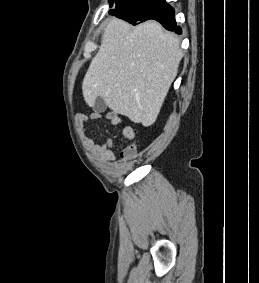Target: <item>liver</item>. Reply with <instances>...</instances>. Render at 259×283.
Segmentation results:
<instances>
[{
    "instance_id": "liver-1",
    "label": "liver",
    "mask_w": 259,
    "mask_h": 283,
    "mask_svg": "<svg viewBox=\"0 0 259 283\" xmlns=\"http://www.w3.org/2000/svg\"><path fill=\"white\" fill-rule=\"evenodd\" d=\"M182 58L179 39L155 21L136 27L112 18L83 79L88 106L98 96L115 113L151 126L176 77Z\"/></svg>"
}]
</instances>
